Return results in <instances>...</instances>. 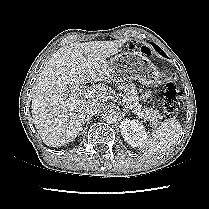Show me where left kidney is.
Segmentation results:
<instances>
[{"instance_id": "obj_1", "label": "left kidney", "mask_w": 209, "mask_h": 209, "mask_svg": "<svg viewBox=\"0 0 209 209\" xmlns=\"http://www.w3.org/2000/svg\"><path fill=\"white\" fill-rule=\"evenodd\" d=\"M124 140L132 147H141L146 140V131L138 120L124 119L120 123Z\"/></svg>"}]
</instances>
